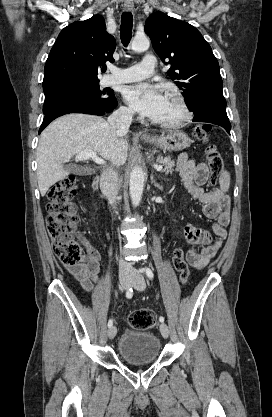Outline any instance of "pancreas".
<instances>
[{
  "label": "pancreas",
  "instance_id": "cf45deb5",
  "mask_svg": "<svg viewBox=\"0 0 272 417\" xmlns=\"http://www.w3.org/2000/svg\"><path fill=\"white\" fill-rule=\"evenodd\" d=\"M156 161L164 166L163 172H165L166 174H169V173L173 172V167L175 166V161L171 160L170 157L158 156L156 158Z\"/></svg>",
  "mask_w": 272,
  "mask_h": 417
}]
</instances>
